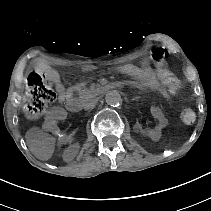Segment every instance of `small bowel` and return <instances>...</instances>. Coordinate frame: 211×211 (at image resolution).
Returning a JSON list of instances; mask_svg holds the SVG:
<instances>
[{"instance_id":"obj_1","label":"small bowel","mask_w":211,"mask_h":211,"mask_svg":"<svg viewBox=\"0 0 211 211\" xmlns=\"http://www.w3.org/2000/svg\"><path fill=\"white\" fill-rule=\"evenodd\" d=\"M40 72L44 73L47 78L55 83L58 91V101L60 103L65 102L73 95V92L79 88L80 85L75 87H66L60 80L59 75L44 65L38 66ZM121 71L131 73L135 76L136 82L139 88H151L158 90L165 98H171V90L166 85L161 83L156 75L149 72H142L134 67H122ZM52 111L46 117L43 125V130L51 133L57 139L58 144H65L68 140V135L63 133L57 125L58 115ZM151 114L154 119V123L145 128V133L150 138H156L160 132L166 126L167 120L163 111L156 105L151 107Z\"/></svg>"}]
</instances>
